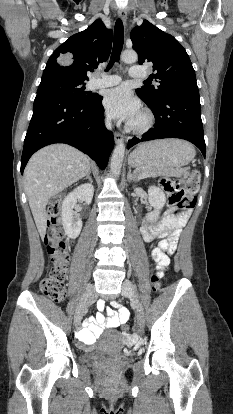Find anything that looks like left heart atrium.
Masks as SVG:
<instances>
[{"label": "left heart atrium", "instance_id": "39dd6f15", "mask_svg": "<svg viewBox=\"0 0 233 414\" xmlns=\"http://www.w3.org/2000/svg\"><path fill=\"white\" fill-rule=\"evenodd\" d=\"M103 105L110 117L129 123L135 121L141 114L139 102L125 87L108 90L104 95Z\"/></svg>", "mask_w": 233, "mask_h": 414}]
</instances>
